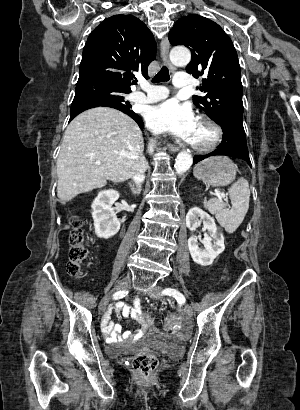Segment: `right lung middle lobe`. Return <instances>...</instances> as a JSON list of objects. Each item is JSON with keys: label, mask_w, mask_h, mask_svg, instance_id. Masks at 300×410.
I'll return each mask as SVG.
<instances>
[{"label": "right lung middle lobe", "mask_w": 300, "mask_h": 410, "mask_svg": "<svg viewBox=\"0 0 300 410\" xmlns=\"http://www.w3.org/2000/svg\"><path fill=\"white\" fill-rule=\"evenodd\" d=\"M128 93L130 92L102 83L78 82L71 112L82 107L98 104H110L130 109L129 101L124 99V96Z\"/></svg>", "instance_id": "1"}]
</instances>
